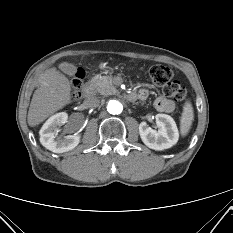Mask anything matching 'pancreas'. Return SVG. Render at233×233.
<instances>
[{"label":"pancreas","instance_id":"obj_1","mask_svg":"<svg viewBox=\"0 0 233 233\" xmlns=\"http://www.w3.org/2000/svg\"><path fill=\"white\" fill-rule=\"evenodd\" d=\"M90 86L94 92L101 95H110L116 91L112 78L108 76L95 75L90 81Z\"/></svg>","mask_w":233,"mask_h":233}]
</instances>
